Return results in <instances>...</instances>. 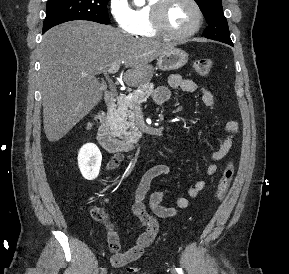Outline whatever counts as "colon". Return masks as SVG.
Segmentation results:
<instances>
[{"mask_svg":"<svg viewBox=\"0 0 289 274\" xmlns=\"http://www.w3.org/2000/svg\"><path fill=\"white\" fill-rule=\"evenodd\" d=\"M212 64L213 63L210 58H206V57L198 58L194 61V69L196 73L199 74L200 76H207L211 72ZM100 119H101V114H97L94 117L95 121H99ZM234 173H235L234 164L232 161H229L227 165L225 166L222 172V175L219 179V182L217 184L215 196L218 200H221L226 195L227 191L229 190L233 177H234ZM92 214H93V217L98 221H102V222L107 221V217L105 213L99 208H94L92 211ZM127 270L129 272H137L139 268L136 266H128Z\"/></svg>","mask_w":289,"mask_h":274,"instance_id":"obj_1","label":"colon"}]
</instances>
